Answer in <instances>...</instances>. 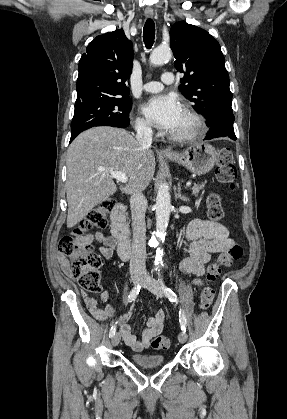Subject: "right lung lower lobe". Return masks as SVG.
Segmentation results:
<instances>
[{"label":"right lung lower lobe","instance_id":"1","mask_svg":"<svg viewBox=\"0 0 287 419\" xmlns=\"http://www.w3.org/2000/svg\"><path fill=\"white\" fill-rule=\"evenodd\" d=\"M97 126H112V127H117V128H124V127H120V126H116V125H97ZM94 127V126H93ZM89 129V128H88ZM78 135V134H77ZM77 135H74V136H71V139H70V142L77 136Z\"/></svg>","mask_w":287,"mask_h":419}]
</instances>
